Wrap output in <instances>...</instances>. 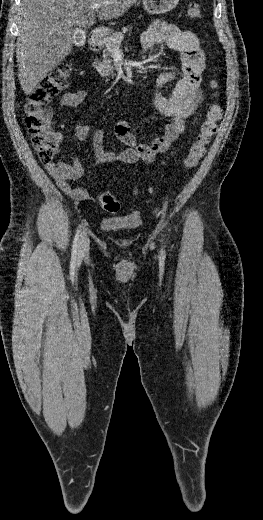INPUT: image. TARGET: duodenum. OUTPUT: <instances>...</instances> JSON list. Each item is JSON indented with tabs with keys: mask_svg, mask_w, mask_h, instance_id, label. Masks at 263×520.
Masks as SVG:
<instances>
[{
	"mask_svg": "<svg viewBox=\"0 0 263 520\" xmlns=\"http://www.w3.org/2000/svg\"><path fill=\"white\" fill-rule=\"evenodd\" d=\"M89 45L93 51H97L100 48V33L98 31L91 33L89 38Z\"/></svg>",
	"mask_w": 263,
	"mask_h": 520,
	"instance_id": "410a0bca",
	"label": "duodenum"
}]
</instances>
